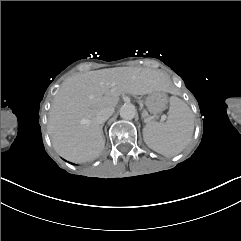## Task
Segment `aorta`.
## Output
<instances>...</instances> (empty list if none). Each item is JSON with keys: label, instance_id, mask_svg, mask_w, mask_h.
<instances>
[{"label": "aorta", "instance_id": "obj_1", "mask_svg": "<svg viewBox=\"0 0 241 241\" xmlns=\"http://www.w3.org/2000/svg\"><path fill=\"white\" fill-rule=\"evenodd\" d=\"M136 108L133 104H124L120 108V116L123 119L131 120L136 116Z\"/></svg>", "mask_w": 241, "mask_h": 241}]
</instances>
